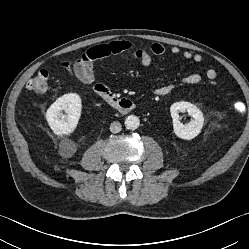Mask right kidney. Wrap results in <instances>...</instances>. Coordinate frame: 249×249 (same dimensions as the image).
Here are the masks:
<instances>
[{
	"instance_id": "obj_1",
	"label": "right kidney",
	"mask_w": 249,
	"mask_h": 249,
	"mask_svg": "<svg viewBox=\"0 0 249 249\" xmlns=\"http://www.w3.org/2000/svg\"><path fill=\"white\" fill-rule=\"evenodd\" d=\"M64 110L68 115L61 113ZM81 98L76 93H68L59 97L47 110L46 120L49 127L58 136L70 135L76 128L81 116ZM64 155L70 157L76 151V146L71 140H66L61 145Z\"/></svg>"
}]
</instances>
